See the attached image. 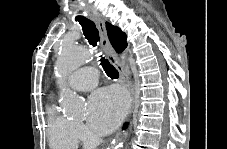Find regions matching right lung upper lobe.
<instances>
[{"label":"right lung upper lobe","mask_w":227,"mask_h":149,"mask_svg":"<svg viewBox=\"0 0 227 149\" xmlns=\"http://www.w3.org/2000/svg\"><path fill=\"white\" fill-rule=\"evenodd\" d=\"M106 29L109 40L117 52H122L127 47L126 34L120 28L106 22Z\"/></svg>","instance_id":"cb5924a9"}]
</instances>
